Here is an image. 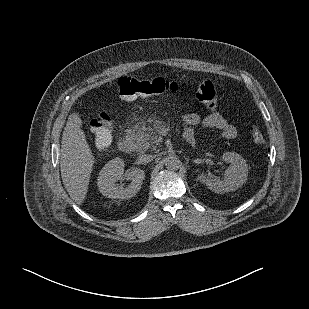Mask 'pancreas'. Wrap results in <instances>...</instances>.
<instances>
[{"label":"pancreas","mask_w":309,"mask_h":309,"mask_svg":"<svg viewBox=\"0 0 309 309\" xmlns=\"http://www.w3.org/2000/svg\"><path fill=\"white\" fill-rule=\"evenodd\" d=\"M137 149L145 151L148 148L155 150L161 145L162 137L153 130H139L134 134Z\"/></svg>","instance_id":"1"}]
</instances>
